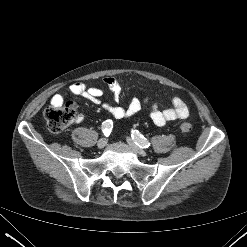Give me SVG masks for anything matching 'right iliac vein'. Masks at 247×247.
Here are the masks:
<instances>
[{
  "label": "right iliac vein",
  "instance_id": "obj_1",
  "mask_svg": "<svg viewBox=\"0 0 247 247\" xmlns=\"http://www.w3.org/2000/svg\"><path fill=\"white\" fill-rule=\"evenodd\" d=\"M107 142H108L107 138H101L97 143L98 148L100 149L104 148L107 145Z\"/></svg>",
  "mask_w": 247,
  "mask_h": 247
}]
</instances>
